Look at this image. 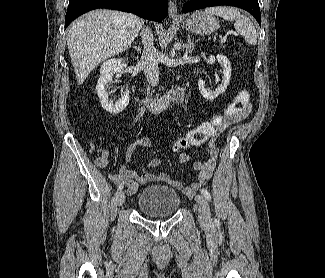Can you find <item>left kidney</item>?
<instances>
[{
  "label": "left kidney",
  "mask_w": 325,
  "mask_h": 278,
  "mask_svg": "<svg viewBox=\"0 0 325 278\" xmlns=\"http://www.w3.org/2000/svg\"><path fill=\"white\" fill-rule=\"evenodd\" d=\"M216 58L223 68V77H222L221 84L214 91H212L205 87V83L202 79H199L198 81L199 91L201 95L207 100H214L220 94L224 93L230 82V77H231L230 61L224 55H217Z\"/></svg>",
  "instance_id": "5707ae66"
}]
</instances>
